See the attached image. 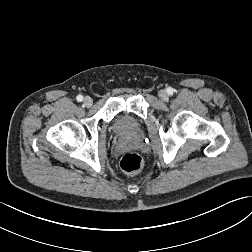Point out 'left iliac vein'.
Returning a JSON list of instances; mask_svg holds the SVG:
<instances>
[{
  "mask_svg": "<svg viewBox=\"0 0 252 252\" xmlns=\"http://www.w3.org/2000/svg\"><path fill=\"white\" fill-rule=\"evenodd\" d=\"M159 97L163 100V101H167L168 100V94L165 90H161L159 92Z\"/></svg>",
  "mask_w": 252,
  "mask_h": 252,
  "instance_id": "left-iliac-vein-1",
  "label": "left iliac vein"
}]
</instances>
